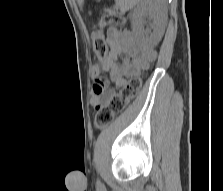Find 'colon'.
Masks as SVG:
<instances>
[{
	"label": "colon",
	"instance_id": "5ec220e1",
	"mask_svg": "<svg viewBox=\"0 0 223 191\" xmlns=\"http://www.w3.org/2000/svg\"><path fill=\"white\" fill-rule=\"evenodd\" d=\"M112 21V18L105 17L102 18L99 22V28L96 30L93 35V47L98 61H105L106 54L108 52L107 42L105 39L104 29ZM118 24L123 25L125 23L124 19L116 18ZM91 67L93 73H91V78H101V73L104 72L103 67L105 66L104 62H91ZM141 87L140 78H133L127 83L118 94L113 96L108 104L100 109H98L95 115V124L98 128H103L107 126L114 118L119 115L129 104V102L137 95Z\"/></svg>",
	"mask_w": 223,
	"mask_h": 191
}]
</instances>
